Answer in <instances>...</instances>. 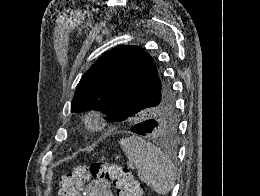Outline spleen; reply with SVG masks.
<instances>
[{"label":"spleen","instance_id":"1","mask_svg":"<svg viewBox=\"0 0 260 196\" xmlns=\"http://www.w3.org/2000/svg\"><path fill=\"white\" fill-rule=\"evenodd\" d=\"M118 144L129 162L136 166L141 182L151 186L152 190L161 196L172 190L176 170L168 156H165L157 146L139 136L121 138Z\"/></svg>","mask_w":260,"mask_h":196}]
</instances>
